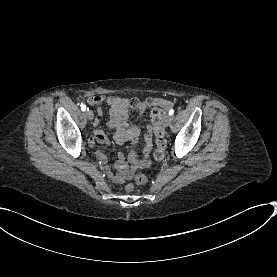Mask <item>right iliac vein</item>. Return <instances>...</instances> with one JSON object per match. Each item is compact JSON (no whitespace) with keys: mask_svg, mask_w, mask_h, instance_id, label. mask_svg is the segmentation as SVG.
Listing matches in <instances>:
<instances>
[{"mask_svg":"<svg viewBox=\"0 0 277 277\" xmlns=\"http://www.w3.org/2000/svg\"><path fill=\"white\" fill-rule=\"evenodd\" d=\"M85 115H86L87 119L90 121L93 120V118H94L93 112L89 109L85 112Z\"/></svg>","mask_w":277,"mask_h":277,"instance_id":"right-iliac-vein-1","label":"right iliac vein"}]
</instances>
